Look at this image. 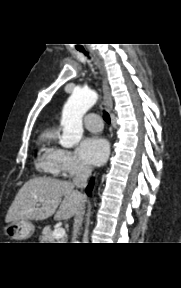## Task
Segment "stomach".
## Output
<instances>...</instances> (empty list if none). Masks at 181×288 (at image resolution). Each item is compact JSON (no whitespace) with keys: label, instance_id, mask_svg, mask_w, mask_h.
<instances>
[{"label":"stomach","instance_id":"0dacf381","mask_svg":"<svg viewBox=\"0 0 181 288\" xmlns=\"http://www.w3.org/2000/svg\"><path fill=\"white\" fill-rule=\"evenodd\" d=\"M3 233L10 240L22 241L33 235L34 226L29 221H13L4 226Z\"/></svg>","mask_w":181,"mask_h":288}]
</instances>
